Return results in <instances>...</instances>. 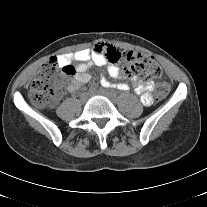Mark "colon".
<instances>
[{"mask_svg":"<svg viewBox=\"0 0 207 207\" xmlns=\"http://www.w3.org/2000/svg\"><path fill=\"white\" fill-rule=\"evenodd\" d=\"M95 50L104 55L109 63L120 65L123 76H135L141 79H160L163 71L153 56L136 51L121 50L110 44H97ZM74 73L72 66H61L57 57H51L42 65L29 90L33 106L43 108L54 105L61 96L63 84ZM168 88L162 85L156 98L166 96Z\"/></svg>","mask_w":207,"mask_h":207,"instance_id":"obj_1","label":"colon"}]
</instances>
